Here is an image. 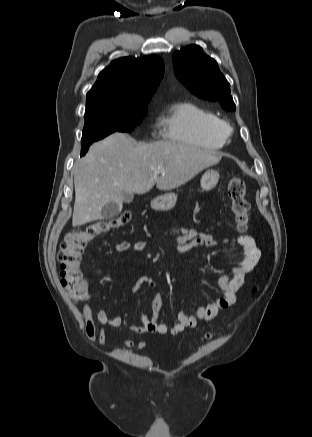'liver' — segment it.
I'll return each instance as SVG.
<instances>
[{
  "label": "liver",
  "instance_id": "obj_1",
  "mask_svg": "<svg viewBox=\"0 0 312 437\" xmlns=\"http://www.w3.org/2000/svg\"><path fill=\"white\" fill-rule=\"evenodd\" d=\"M221 158L218 152L189 144H138L127 134L114 133L92 144L85 157L75 163L72 226L102 219L103 206L121 204L125 192L145 194L155 184L159 190L180 187Z\"/></svg>",
  "mask_w": 312,
  "mask_h": 437
}]
</instances>
